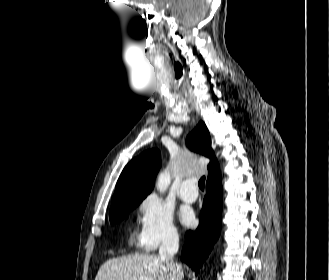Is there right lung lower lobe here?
Here are the masks:
<instances>
[{
	"label": "right lung lower lobe",
	"mask_w": 329,
	"mask_h": 280,
	"mask_svg": "<svg viewBox=\"0 0 329 280\" xmlns=\"http://www.w3.org/2000/svg\"><path fill=\"white\" fill-rule=\"evenodd\" d=\"M222 214V183L220 171L207 180L206 196L195 232L186 233L181 259L197 273L219 237Z\"/></svg>",
	"instance_id": "1"
}]
</instances>
